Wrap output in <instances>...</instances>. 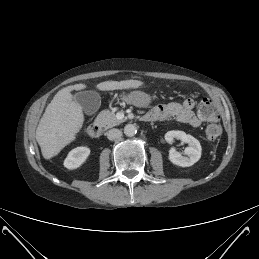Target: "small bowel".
<instances>
[{
    "label": "small bowel",
    "mask_w": 259,
    "mask_h": 259,
    "mask_svg": "<svg viewBox=\"0 0 259 259\" xmlns=\"http://www.w3.org/2000/svg\"><path fill=\"white\" fill-rule=\"evenodd\" d=\"M147 114L153 117V121H161L173 117L178 122L188 124L192 127H198L202 122L209 120L200 111L198 113L195 112V102L190 98L183 102L174 101L159 104Z\"/></svg>",
    "instance_id": "1"
}]
</instances>
